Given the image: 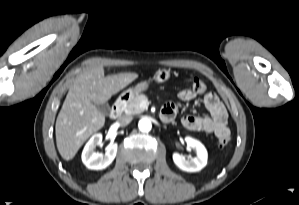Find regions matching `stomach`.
<instances>
[{
	"label": "stomach",
	"instance_id": "0dacf381",
	"mask_svg": "<svg viewBox=\"0 0 299 205\" xmlns=\"http://www.w3.org/2000/svg\"><path fill=\"white\" fill-rule=\"evenodd\" d=\"M171 70L170 69H159L155 75L154 80L157 83H163L170 79L171 77ZM150 82L149 81H142L138 84H136L134 87H131L124 91L121 94L122 99L125 100H132L135 96H137L139 93L146 91L149 88Z\"/></svg>",
	"mask_w": 299,
	"mask_h": 205
}]
</instances>
